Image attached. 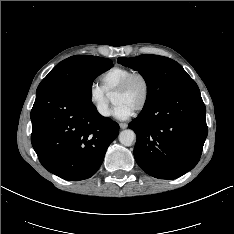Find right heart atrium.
Listing matches in <instances>:
<instances>
[{
	"instance_id": "1",
	"label": "right heart atrium",
	"mask_w": 234,
	"mask_h": 234,
	"mask_svg": "<svg viewBox=\"0 0 234 234\" xmlns=\"http://www.w3.org/2000/svg\"><path fill=\"white\" fill-rule=\"evenodd\" d=\"M87 97L96 113L102 118H107L111 114L110 100L101 86L92 83L88 87Z\"/></svg>"
}]
</instances>
